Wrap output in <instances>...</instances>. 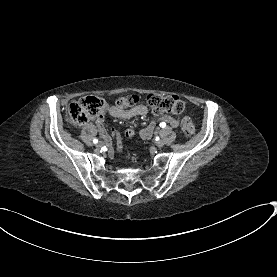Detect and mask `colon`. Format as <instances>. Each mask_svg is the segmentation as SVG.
<instances>
[{
  "mask_svg": "<svg viewBox=\"0 0 277 277\" xmlns=\"http://www.w3.org/2000/svg\"><path fill=\"white\" fill-rule=\"evenodd\" d=\"M115 101L122 108L133 105L128 96L116 97ZM146 102L156 115H182L185 111L184 102L175 95L152 93L147 96ZM69 105L72 123L76 126L84 125L89 119L97 120L105 108L101 94H90L84 99H70ZM180 130L187 136L192 135L193 122L189 118H183L180 122ZM120 150L121 147L118 145L117 151L120 152Z\"/></svg>",
  "mask_w": 277,
  "mask_h": 277,
  "instance_id": "5ec220e1",
  "label": "colon"
}]
</instances>
